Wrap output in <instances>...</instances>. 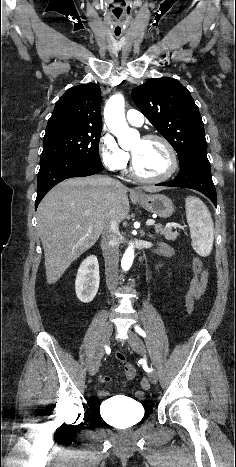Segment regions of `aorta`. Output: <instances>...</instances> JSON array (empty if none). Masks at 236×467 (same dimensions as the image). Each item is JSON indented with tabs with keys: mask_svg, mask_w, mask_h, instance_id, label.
<instances>
[{
	"mask_svg": "<svg viewBox=\"0 0 236 467\" xmlns=\"http://www.w3.org/2000/svg\"><path fill=\"white\" fill-rule=\"evenodd\" d=\"M125 100L124 96L120 93L115 94L109 98L104 108V118L107 127L110 132L114 134L119 141L121 146H124V142L131 135V129L129 128L124 113ZM134 260V247L132 244L126 249L122 261L121 267L124 271H128Z\"/></svg>",
	"mask_w": 236,
	"mask_h": 467,
	"instance_id": "obj_1",
	"label": "aorta"
}]
</instances>
